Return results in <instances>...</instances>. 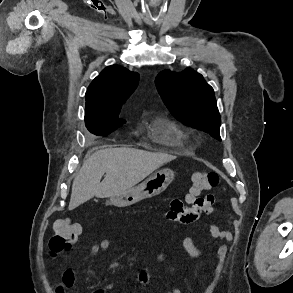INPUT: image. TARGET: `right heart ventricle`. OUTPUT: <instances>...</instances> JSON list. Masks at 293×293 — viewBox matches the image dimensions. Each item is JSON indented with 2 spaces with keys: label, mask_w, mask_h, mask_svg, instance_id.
<instances>
[{
  "label": "right heart ventricle",
  "mask_w": 293,
  "mask_h": 293,
  "mask_svg": "<svg viewBox=\"0 0 293 293\" xmlns=\"http://www.w3.org/2000/svg\"><path fill=\"white\" fill-rule=\"evenodd\" d=\"M152 134L159 142L169 146L182 145L187 139L183 128L170 119L155 121L152 126Z\"/></svg>",
  "instance_id": "1"
}]
</instances>
